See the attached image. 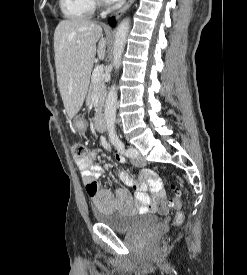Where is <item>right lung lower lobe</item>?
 Wrapping results in <instances>:
<instances>
[{
	"mask_svg": "<svg viewBox=\"0 0 247 275\" xmlns=\"http://www.w3.org/2000/svg\"><path fill=\"white\" fill-rule=\"evenodd\" d=\"M108 22H109V24H110L112 27L115 26V19H114V18H110V19L108 20Z\"/></svg>",
	"mask_w": 247,
	"mask_h": 275,
	"instance_id": "1",
	"label": "right lung lower lobe"
}]
</instances>
